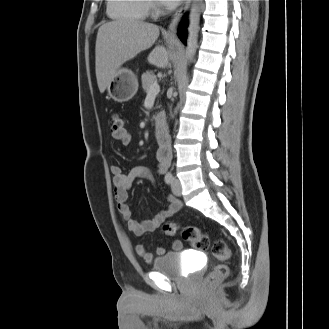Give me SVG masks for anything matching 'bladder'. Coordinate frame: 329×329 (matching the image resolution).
Instances as JSON below:
<instances>
[{
    "label": "bladder",
    "instance_id": "1",
    "mask_svg": "<svg viewBox=\"0 0 329 329\" xmlns=\"http://www.w3.org/2000/svg\"><path fill=\"white\" fill-rule=\"evenodd\" d=\"M152 269L169 279H182L187 274L183 271L181 252H165L152 261Z\"/></svg>",
    "mask_w": 329,
    "mask_h": 329
}]
</instances>
